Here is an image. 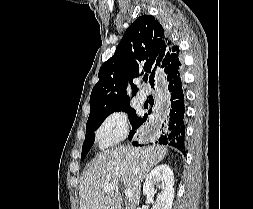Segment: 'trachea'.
Segmentation results:
<instances>
[{
	"instance_id": "trachea-1",
	"label": "trachea",
	"mask_w": 253,
	"mask_h": 209,
	"mask_svg": "<svg viewBox=\"0 0 253 209\" xmlns=\"http://www.w3.org/2000/svg\"><path fill=\"white\" fill-rule=\"evenodd\" d=\"M147 80H148V77H144V78H143V81H144V82H147Z\"/></svg>"
}]
</instances>
